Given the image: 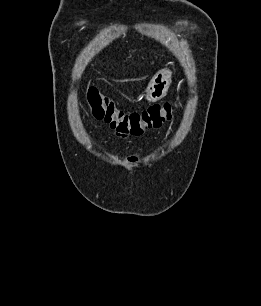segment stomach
I'll list each match as a JSON object with an SVG mask.
<instances>
[{
    "label": "stomach",
    "mask_w": 261,
    "mask_h": 306,
    "mask_svg": "<svg viewBox=\"0 0 261 306\" xmlns=\"http://www.w3.org/2000/svg\"><path fill=\"white\" fill-rule=\"evenodd\" d=\"M171 72L168 70L159 71L150 81L145 98L149 102H156L162 99L170 86Z\"/></svg>",
    "instance_id": "0dacf381"
}]
</instances>
